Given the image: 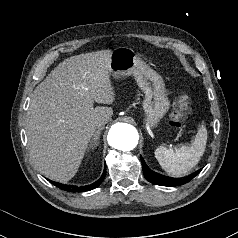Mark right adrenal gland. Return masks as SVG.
<instances>
[{
    "label": "right adrenal gland",
    "instance_id": "1",
    "mask_svg": "<svg viewBox=\"0 0 238 238\" xmlns=\"http://www.w3.org/2000/svg\"><path fill=\"white\" fill-rule=\"evenodd\" d=\"M104 129V127L99 128L98 130H96L94 136L92 137V139L90 140V144L89 147L90 149H94V147H97L99 144V139H100V134L101 131Z\"/></svg>",
    "mask_w": 238,
    "mask_h": 238
}]
</instances>
